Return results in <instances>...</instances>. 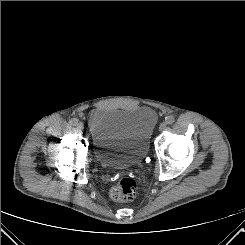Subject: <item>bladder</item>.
<instances>
[{"label": "bladder", "mask_w": 245, "mask_h": 245, "mask_svg": "<svg viewBox=\"0 0 245 245\" xmlns=\"http://www.w3.org/2000/svg\"><path fill=\"white\" fill-rule=\"evenodd\" d=\"M149 106L97 107L87 116V130L95 157L104 167L126 169L147 155L157 124Z\"/></svg>", "instance_id": "31cf9c89"}]
</instances>
